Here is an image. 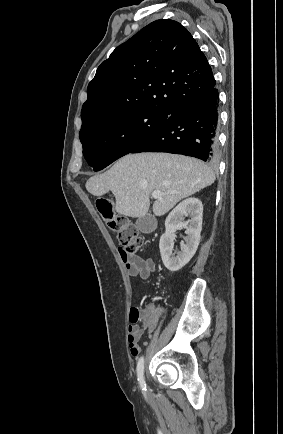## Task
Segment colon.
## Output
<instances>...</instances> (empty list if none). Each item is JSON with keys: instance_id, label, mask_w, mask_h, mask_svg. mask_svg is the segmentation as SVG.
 <instances>
[{"instance_id": "obj_1", "label": "colon", "mask_w": 283, "mask_h": 434, "mask_svg": "<svg viewBox=\"0 0 283 434\" xmlns=\"http://www.w3.org/2000/svg\"><path fill=\"white\" fill-rule=\"evenodd\" d=\"M96 208L107 223V225L117 233L118 241L122 247V250L126 254L133 255L139 249L145 246V240L138 234L135 227L130 221L121 215H117L114 212L112 202L107 199H99L96 201ZM142 318L146 319L145 312H141L140 309L133 307L130 310V322L132 324L138 323ZM155 314H151L150 321H154Z\"/></svg>"}]
</instances>
